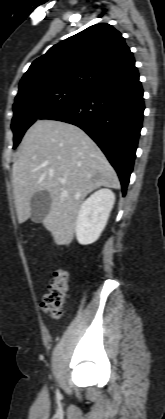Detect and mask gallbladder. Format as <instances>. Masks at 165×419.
<instances>
[{
    "mask_svg": "<svg viewBox=\"0 0 165 419\" xmlns=\"http://www.w3.org/2000/svg\"><path fill=\"white\" fill-rule=\"evenodd\" d=\"M52 199L47 191L35 193L30 202L31 220L35 223H41L50 210Z\"/></svg>",
    "mask_w": 165,
    "mask_h": 419,
    "instance_id": "gallbladder-1",
    "label": "gallbladder"
}]
</instances>
